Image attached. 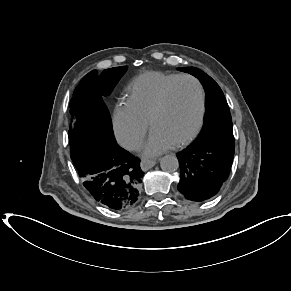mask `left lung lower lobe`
Instances as JSON below:
<instances>
[{
	"instance_id": "1",
	"label": "left lung lower lobe",
	"mask_w": 291,
	"mask_h": 291,
	"mask_svg": "<svg viewBox=\"0 0 291 291\" xmlns=\"http://www.w3.org/2000/svg\"><path fill=\"white\" fill-rule=\"evenodd\" d=\"M234 147L208 142H193L178 153L180 179L178 191L194 202L216 196L228 179Z\"/></svg>"
}]
</instances>
